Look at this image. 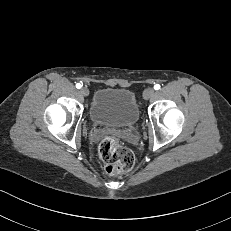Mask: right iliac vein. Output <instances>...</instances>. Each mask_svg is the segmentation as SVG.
Instances as JSON below:
<instances>
[{"label": "right iliac vein", "mask_w": 231, "mask_h": 231, "mask_svg": "<svg viewBox=\"0 0 231 231\" xmlns=\"http://www.w3.org/2000/svg\"><path fill=\"white\" fill-rule=\"evenodd\" d=\"M80 93L83 95V96H88L89 95V90L85 87L81 88L80 89Z\"/></svg>", "instance_id": "obj_1"}]
</instances>
